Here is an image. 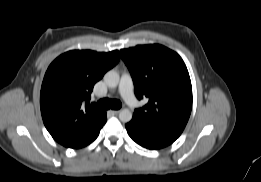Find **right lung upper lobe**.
<instances>
[{
	"mask_svg": "<svg viewBox=\"0 0 261 182\" xmlns=\"http://www.w3.org/2000/svg\"><path fill=\"white\" fill-rule=\"evenodd\" d=\"M119 59L117 50H72L50 64L41 87L40 107L44 125L58 143L81 148L104 122L106 112L88 100L94 84Z\"/></svg>",
	"mask_w": 261,
	"mask_h": 182,
	"instance_id": "1",
	"label": "right lung upper lobe"
}]
</instances>
